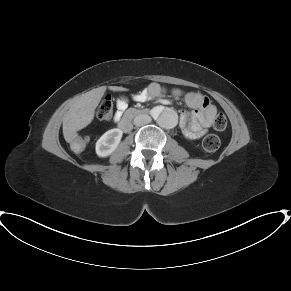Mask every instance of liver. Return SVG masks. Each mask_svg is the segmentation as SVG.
Returning a JSON list of instances; mask_svg holds the SVG:
<instances>
[{
    "mask_svg": "<svg viewBox=\"0 0 291 291\" xmlns=\"http://www.w3.org/2000/svg\"><path fill=\"white\" fill-rule=\"evenodd\" d=\"M112 91H125L123 87L110 86ZM106 87L93 89L78 98L63 117L64 138L69 141L79 130L88 126L94 119L95 109L101 101Z\"/></svg>",
    "mask_w": 291,
    "mask_h": 291,
    "instance_id": "6515ba94",
    "label": "liver"
}]
</instances>
